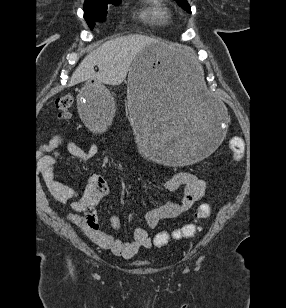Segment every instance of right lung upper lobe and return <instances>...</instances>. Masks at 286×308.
Instances as JSON below:
<instances>
[{
	"label": "right lung upper lobe",
	"instance_id": "obj_1",
	"mask_svg": "<svg viewBox=\"0 0 286 308\" xmlns=\"http://www.w3.org/2000/svg\"><path fill=\"white\" fill-rule=\"evenodd\" d=\"M88 1H102V0H86L85 2H88Z\"/></svg>",
	"mask_w": 286,
	"mask_h": 308
}]
</instances>
